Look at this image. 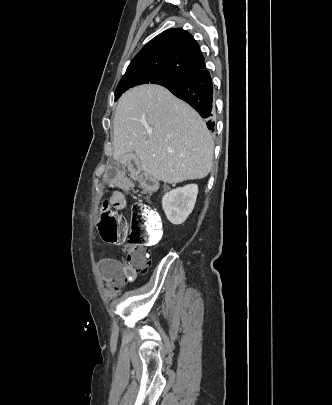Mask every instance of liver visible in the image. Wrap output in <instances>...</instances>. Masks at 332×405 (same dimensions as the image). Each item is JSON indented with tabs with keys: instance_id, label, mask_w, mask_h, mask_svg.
Here are the masks:
<instances>
[{
	"instance_id": "1",
	"label": "liver",
	"mask_w": 332,
	"mask_h": 405,
	"mask_svg": "<svg viewBox=\"0 0 332 405\" xmlns=\"http://www.w3.org/2000/svg\"><path fill=\"white\" fill-rule=\"evenodd\" d=\"M114 160L126 164L135 152L141 169L164 183L206 177L214 142L204 120L187 103L158 85L125 92L114 117Z\"/></svg>"
}]
</instances>
